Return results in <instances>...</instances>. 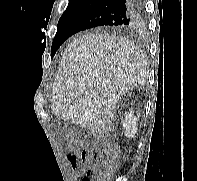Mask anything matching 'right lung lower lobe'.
<instances>
[{"instance_id":"right-lung-lower-lobe-1","label":"right lung lower lobe","mask_w":197,"mask_h":181,"mask_svg":"<svg viewBox=\"0 0 197 181\" xmlns=\"http://www.w3.org/2000/svg\"><path fill=\"white\" fill-rule=\"evenodd\" d=\"M140 22L139 0H99L77 19L67 39L97 26L136 27Z\"/></svg>"}]
</instances>
